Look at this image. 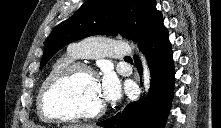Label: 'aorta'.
Here are the masks:
<instances>
[{"label":"aorta","mask_w":221,"mask_h":128,"mask_svg":"<svg viewBox=\"0 0 221 128\" xmlns=\"http://www.w3.org/2000/svg\"><path fill=\"white\" fill-rule=\"evenodd\" d=\"M140 59L143 66V84H144V90L147 93L150 88V71L147 65V61L143 54L140 53Z\"/></svg>","instance_id":"obj_1"}]
</instances>
